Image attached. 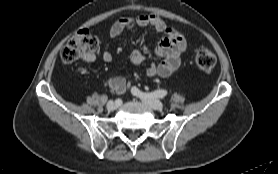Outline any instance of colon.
<instances>
[{
    "mask_svg": "<svg viewBox=\"0 0 278 174\" xmlns=\"http://www.w3.org/2000/svg\"><path fill=\"white\" fill-rule=\"evenodd\" d=\"M98 48V39L88 30L76 32L61 50L64 62L87 59L94 55ZM195 63L202 71H210L216 64V57L209 49L200 47L195 51Z\"/></svg>",
    "mask_w": 278,
    "mask_h": 174,
    "instance_id": "5ec220e1",
    "label": "colon"
}]
</instances>
